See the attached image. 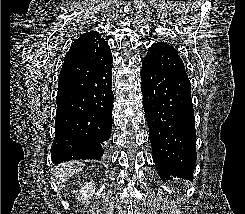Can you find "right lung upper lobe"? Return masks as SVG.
I'll return each instance as SVG.
<instances>
[{"label": "right lung upper lobe", "instance_id": "right-lung-upper-lobe-1", "mask_svg": "<svg viewBox=\"0 0 245 214\" xmlns=\"http://www.w3.org/2000/svg\"><path fill=\"white\" fill-rule=\"evenodd\" d=\"M112 59L108 42L99 33L82 34L71 45L64 62L73 61L78 86L85 87L95 77L96 71Z\"/></svg>", "mask_w": 245, "mask_h": 214}]
</instances>
